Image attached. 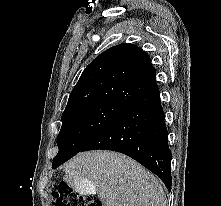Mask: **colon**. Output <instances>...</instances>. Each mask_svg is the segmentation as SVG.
<instances>
[{
    "label": "colon",
    "mask_w": 221,
    "mask_h": 206,
    "mask_svg": "<svg viewBox=\"0 0 221 206\" xmlns=\"http://www.w3.org/2000/svg\"><path fill=\"white\" fill-rule=\"evenodd\" d=\"M54 206H103L102 203L94 197L87 198L81 194H72L70 186L61 182L53 191Z\"/></svg>",
    "instance_id": "1"
}]
</instances>
